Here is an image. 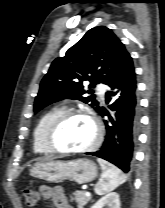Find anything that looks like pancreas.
I'll list each match as a JSON object with an SVG mask.
<instances>
[{
    "label": "pancreas",
    "instance_id": "obj_1",
    "mask_svg": "<svg viewBox=\"0 0 165 208\" xmlns=\"http://www.w3.org/2000/svg\"><path fill=\"white\" fill-rule=\"evenodd\" d=\"M73 195L78 208H83L91 199V196H86L84 191H75Z\"/></svg>",
    "mask_w": 165,
    "mask_h": 208
}]
</instances>
